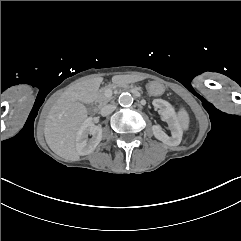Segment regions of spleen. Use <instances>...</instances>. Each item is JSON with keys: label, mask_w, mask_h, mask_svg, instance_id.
<instances>
[{"label": "spleen", "mask_w": 241, "mask_h": 241, "mask_svg": "<svg viewBox=\"0 0 241 241\" xmlns=\"http://www.w3.org/2000/svg\"><path fill=\"white\" fill-rule=\"evenodd\" d=\"M177 121L183 130H188L189 128V115L184 108H181L177 115Z\"/></svg>", "instance_id": "1"}]
</instances>
